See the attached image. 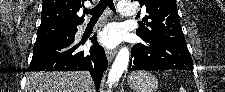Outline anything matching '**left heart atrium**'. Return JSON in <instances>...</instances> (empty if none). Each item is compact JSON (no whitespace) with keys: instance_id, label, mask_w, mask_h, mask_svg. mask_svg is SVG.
Wrapping results in <instances>:
<instances>
[{"instance_id":"obj_1","label":"left heart atrium","mask_w":225,"mask_h":92,"mask_svg":"<svg viewBox=\"0 0 225 92\" xmlns=\"http://www.w3.org/2000/svg\"><path fill=\"white\" fill-rule=\"evenodd\" d=\"M121 40V31L116 24H109L99 34V41L106 47H114Z\"/></svg>"}]
</instances>
